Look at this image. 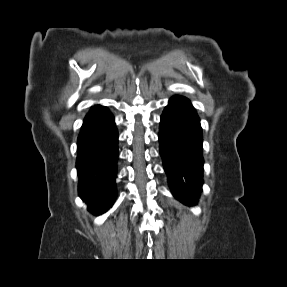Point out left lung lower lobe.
Returning a JSON list of instances; mask_svg holds the SVG:
<instances>
[{
  "mask_svg": "<svg viewBox=\"0 0 287 287\" xmlns=\"http://www.w3.org/2000/svg\"><path fill=\"white\" fill-rule=\"evenodd\" d=\"M158 136L173 195L186 205L196 204L203 184L202 129L190 100L179 95L169 100Z\"/></svg>",
  "mask_w": 287,
  "mask_h": 287,
  "instance_id": "0a47b994",
  "label": "left lung lower lobe"
}]
</instances>
